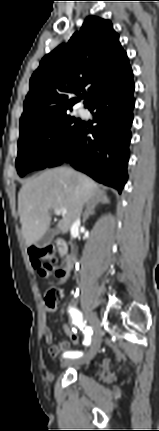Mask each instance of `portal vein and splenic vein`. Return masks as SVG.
Listing matches in <instances>:
<instances>
[{"label":"portal vein and splenic vein","instance_id":"1","mask_svg":"<svg viewBox=\"0 0 159 431\" xmlns=\"http://www.w3.org/2000/svg\"><path fill=\"white\" fill-rule=\"evenodd\" d=\"M54 212H55V214L56 215H65L66 213H67V210L66 209H61V210H59V209H54Z\"/></svg>","mask_w":159,"mask_h":431}]
</instances>
